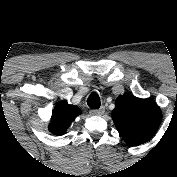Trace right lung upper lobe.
<instances>
[{
  "mask_svg": "<svg viewBox=\"0 0 177 177\" xmlns=\"http://www.w3.org/2000/svg\"><path fill=\"white\" fill-rule=\"evenodd\" d=\"M81 114L80 108L60 101L52 111L49 131L54 135H63L69 128L71 122Z\"/></svg>",
  "mask_w": 177,
  "mask_h": 177,
  "instance_id": "1",
  "label": "right lung upper lobe"
}]
</instances>
